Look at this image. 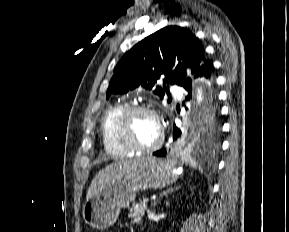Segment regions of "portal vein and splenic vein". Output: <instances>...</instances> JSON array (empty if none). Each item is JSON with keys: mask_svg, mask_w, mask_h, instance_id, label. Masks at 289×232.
<instances>
[{"mask_svg": "<svg viewBox=\"0 0 289 232\" xmlns=\"http://www.w3.org/2000/svg\"><path fill=\"white\" fill-rule=\"evenodd\" d=\"M143 202H144V203H147V202H148V198H144V199H143Z\"/></svg>", "mask_w": 289, "mask_h": 232, "instance_id": "18ae733b", "label": "portal vein and splenic vein"}]
</instances>
